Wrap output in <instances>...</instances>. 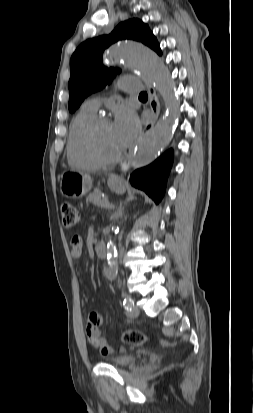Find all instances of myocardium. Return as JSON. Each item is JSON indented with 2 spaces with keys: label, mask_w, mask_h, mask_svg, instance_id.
I'll use <instances>...</instances> for the list:
<instances>
[{
  "label": "myocardium",
  "mask_w": 253,
  "mask_h": 413,
  "mask_svg": "<svg viewBox=\"0 0 253 413\" xmlns=\"http://www.w3.org/2000/svg\"><path fill=\"white\" fill-rule=\"evenodd\" d=\"M109 119L106 117H96L88 126L85 134L86 147L88 149L91 157L100 165H112L119 162L123 157V150L121 149L118 153L113 156L104 155L98 148L97 145V132L98 129L104 125L108 124Z\"/></svg>",
  "instance_id": "obj_1"
}]
</instances>
